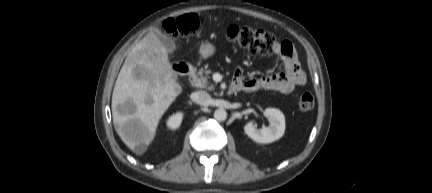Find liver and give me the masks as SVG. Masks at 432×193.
I'll list each match as a JSON object with an SVG mask.
<instances>
[{"label": "liver", "mask_w": 432, "mask_h": 193, "mask_svg": "<svg viewBox=\"0 0 432 193\" xmlns=\"http://www.w3.org/2000/svg\"><path fill=\"white\" fill-rule=\"evenodd\" d=\"M181 91L167 50L149 32L127 56L112 94L115 129L132 151L141 154L152 143L161 117ZM126 104L132 111L121 113Z\"/></svg>", "instance_id": "1"}]
</instances>
